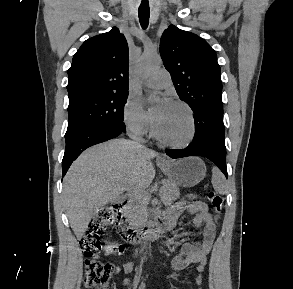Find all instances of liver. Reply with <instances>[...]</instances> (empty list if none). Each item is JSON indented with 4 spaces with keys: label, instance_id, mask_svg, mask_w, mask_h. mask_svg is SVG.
<instances>
[{
    "label": "liver",
    "instance_id": "1",
    "mask_svg": "<svg viewBox=\"0 0 293 289\" xmlns=\"http://www.w3.org/2000/svg\"><path fill=\"white\" fill-rule=\"evenodd\" d=\"M156 152L131 140L113 139L85 150L63 180V203L70 226L81 239L96 210L125 191L142 192L153 181Z\"/></svg>",
    "mask_w": 293,
    "mask_h": 289
}]
</instances>
